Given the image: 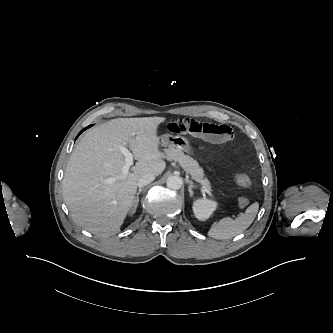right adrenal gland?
Returning a JSON list of instances; mask_svg holds the SVG:
<instances>
[{"label": "right adrenal gland", "instance_id": "1", "mask_svg": "<svg viewBox=\"0 0 333 333\" xmlns=\"http://www.w3.org/2000/svg\"><path fill=\"white\" fill-rule=\"evenodd\" d=\"M143 191V189L142 188H140L139 190H138V192H137V194H136V197H135V199H134V201H133V204H132V213H135V211H136V209H137V206H138V202H139V195H140V193Z\"/></svg>", "mask_w": 333, "mask_h": 333}]
</instances>
